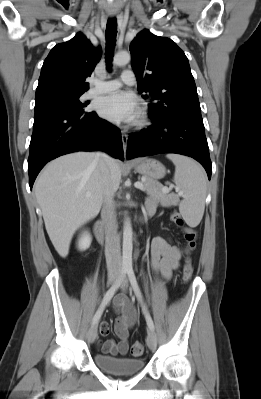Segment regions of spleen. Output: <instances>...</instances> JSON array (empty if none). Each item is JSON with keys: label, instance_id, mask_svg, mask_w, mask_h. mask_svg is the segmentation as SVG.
<instances>
[{"label": "spleen", "instance_id": "spleen-1", "mask_svg": "<svg viewBox=\"0 0 261 399\" xmlns=\"http://www.w3.org/2000/svg\"><path fill=\"white\" fill-rule=\"evenodd\" d=\"M175 165L174 182L181 190L183 200L179 210L186 223L197 226L204 214L207 178L203 168L189 157L168 154Z\"/></svg>", "mask_w": 261, "mask_h": 399}]
</instances>
